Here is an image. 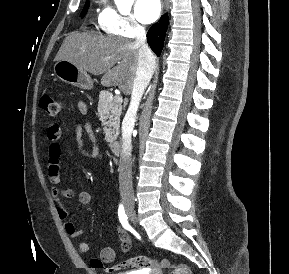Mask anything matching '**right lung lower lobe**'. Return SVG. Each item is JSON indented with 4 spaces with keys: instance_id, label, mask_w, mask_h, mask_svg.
<instances>
[{
    "instance_id": "98d812e1",
    "label": "right lung lower lobe",
    "mask_w": 289,
    "mask_h": 274,
    "mask_svg": "<svg viewBox=\"0 0 289 274\" xmlns=\"http://www.w3.org/2000/svg\"><path fill=\"white\" fill-rule=\"evenodd\" d=\"M168 27V16L163 15L159 23H155L147 33V41L151 49L160 56L163 48L165 34Z\"/></svg>"
}]
</instances>
